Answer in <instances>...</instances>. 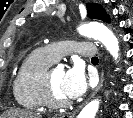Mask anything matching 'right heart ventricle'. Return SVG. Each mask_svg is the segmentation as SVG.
I'll list each match as a JSON object with an SVG mask.
<instances>
[{
	"instance_id": "right-heart-ventricle-1",
	"label": "right heart ventricle",
	"mask_w": 133,
	"mask_h": 118,
	"mask_svg": "<svg viewBox=\"0 0 133 118\" xmlns=\"http://www.w3.org/2000/svg\"><path fill=\"white\" fill-rule=\"evenodd\" d=\"M54 61L43 49H36L24 60L13 82L15 102L26 110H37L44 106L41 99V80Z\"/></svg>"
}]
</instances>
